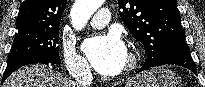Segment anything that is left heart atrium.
I'll list each match as a JSON object with an SVG mask.
<instances>
[{"instance_id": "39dd6f15", "label": "left heart atrium", "mask_w": 205, "mask_h": 87, "mask_svg": "<svg viewBox=\"0 0 205 87\" xmlns=\"http://www.w3.org/2000/svg\"><path fill=\"white\" fill-rule=\"evenodd\" d=\"M83 49L93 67L104 75L117 74L127 56L125 45L115 34L88 39Z\"/></svg>"}]
</instances>
